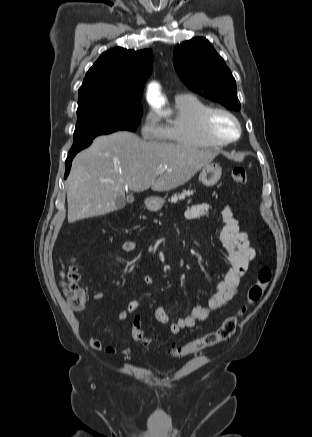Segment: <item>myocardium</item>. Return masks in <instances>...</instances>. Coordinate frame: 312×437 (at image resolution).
Wrapping results in <instances>:
<instances>
[{
	"label": "myocardium",
	"instance_id": "myocardium-1",
	"mask_svg": "<svg viewBox=\"0 0 312 437\" xmlns=\"http://www.w3.org/2000/svg\"><path fill=\"white\" fill-rule=\"evenodd\" d=\"M217 114H224L228 117H230L237 128V134L232 137V138H228V139H224L221 138L220 136H218L212 129V120L214 118L215 115ZM201 129L203 134L213 143L217 144V145H228L231 144L235 141H237L240 137H241V133H242V127H241V123L239 121V119L237 118V116L232 113L230 110L223 108V107H213V108H209L208 110H206L202 117H201Z\"/></svg>",
	"mask_w": 312,
	"mask_h": 437
}]
</instances>
